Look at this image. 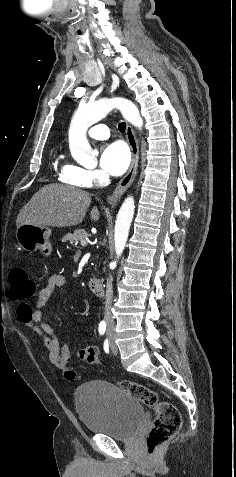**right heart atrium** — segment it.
<instances>
[{
    "instance_id": "right-heart-atrium-1",
    "label": "right heart atrium",
    "mask_w": 236,
    "mask_h": 477,
    "mask_svg": "<svg viewBox=\"0 0 236 477\" xmlns=\"http://www.w3.org/2000/svg\"><path fill=\"white\" fill-rule=\"evenodd\" d=\"M63 179L72 185L90 187L99 184L106 179V175L98 169H86L74 165L64 167Z\"/></svg>"
}]
</instances>
